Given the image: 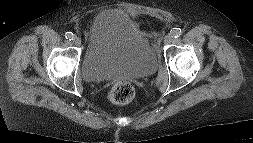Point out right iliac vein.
<instances>
[{
	"label": "right iliac vein",
	"instance_id": "63e3f726",
	"mask_svg": "<svg viewBox=\"0 0 253 143\" xmlns=\"http://www.w3.org/2000/svg\"><path fill=\"white\" fill-rule=\"evenodd\" d=\"M73 44L76 46H80L81 45V39L77 36H75L72 40Z\"/></svg>",
	"mask_w": 253,
	"mask_h": 143
}]
</instances>
